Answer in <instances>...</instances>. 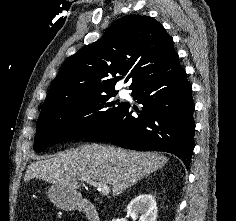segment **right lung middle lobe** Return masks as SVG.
<instances>
[{"mask_svg":"<svg viewBox=\"0 0 236 221\" xmlns=\"http://www.w3.org/2000/svg\"><path fill=\"white\" fill-rule=\"evenodd\" d=\"M117 91L85 96L55 108L41 110L34 148H46L69 140L81 139L99 131L126 102L112 101Z\"/></svg>","mask_w":236,"mask_h":221,"instance_id":"right-lung-middle-lobe-1","label":"right lung middle lobe"}]
</instances>
